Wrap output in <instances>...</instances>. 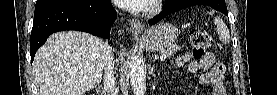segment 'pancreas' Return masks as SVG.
<instances>
[{
    "instance_id": "1",
    "label": "pancreas",
    "mask_w": 277,
    "mask_h": 95,
    "mask_svg": "<svg viewBox=\"0 0 277 95\" xmlns=\"http://www.w3.org/2000/svg\"><path fill=\"white\" fill-rule=\"evenodd\" d=\"M181 48L177 45H170L167 49L162 51V54H165L168 57L174 56L179 52Z\"/></svg>"
}]
</instances>
